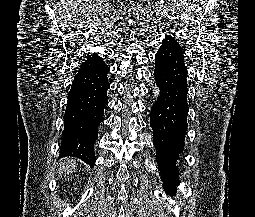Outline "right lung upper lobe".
Instances as JSON below:
<instances>
[{"label":"right lung upper lobe","instance_id":"right-lung-upper-lobe-1","mask_svg":"<svg viewBox=\"0 0 255 217\" xmlns=\"http://www.w3.org/2000/svg\"><path fill=\"white\" fill-rule=\"evenodd\" d=\"M93 59H100V56L97 54H93V55L88 56L85 61L93 60Z\"/></svg>","mask_w":255,"mask_h":217}]
</instances>
